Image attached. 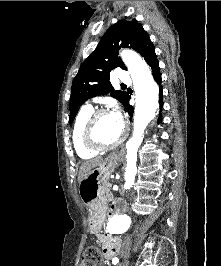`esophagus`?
<instances>
[{
  "label": "esophagus",
  "mask_w": 221,
  "mask_h": 266,
  "mask_svg": "<svg viewBox=\"0 0 221 266\" xmlns=\"http://www.w3.org/2000/svg\"><path fill=\"white\" fill-rule=\"evenodd\" d=\"M124 152V149H121V151L120 152H118V153H123Z\"/></svg>",
  "instance_id": "esophagus-1"
}]
</instances>
